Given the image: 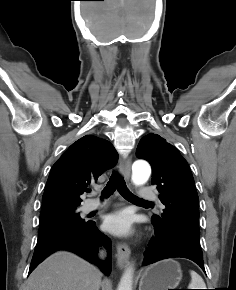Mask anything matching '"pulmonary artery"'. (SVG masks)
I'll use <instances>...</instances> for the list:
<instances>
[{"label": "pulmonary artery", "mask_w": 236, "mask_h": 290, "mask_svg": "<svg viewBox=\"0 0 236 290\" xmlns=\"http://www.w3.org/2000/svg\"><path fill=\"white\" fill-rule=\"evenodd\" d=\"M138 197L142 200L145 201H150V200H156L157 195L156 192L153 189H141L139 190ZM105 205L104 202H100L95 199H90L86 201L83 205V211L84 212H90L96 209H99Z\"/></svg>", "instance_id": "pulmonary-artery-1"}]
</instances>
